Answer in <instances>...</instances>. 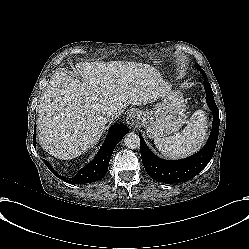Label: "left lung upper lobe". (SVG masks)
Segmentation results:
<instances>
[{
	"label": "left lung upper lobe",
	"mask_w": 249,
	"mask_h": 249,
	"mask_svg": "<svg viewBox=\"0 0 249 249\" xmlns=\"http://www.w3.org/2000/svg\"><path fill=\"white\" fill-rule=\"evenodd\" d=\"M198 68H200V66H198ZM202 73H204L203 71H201Z\"/></svg>",
	"instance_id": "obj_1"
}]
</instances>
